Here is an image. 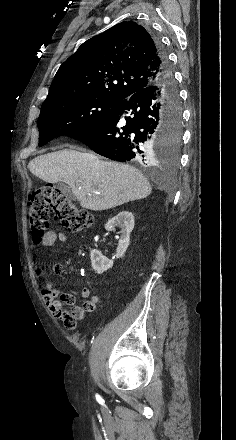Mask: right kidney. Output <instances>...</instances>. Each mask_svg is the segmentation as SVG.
<instances>
[{"label": "right kidney", "instance_id": "obj_1", "mask_svg": "<svg viewBox=\"0 0 236 440\" xmlns=\"http://www.w3.org/2000/svg\"><path fill=\"white\" fill-rule=\"evenodd\" d=\"M121 228V237L116 249V257L121 258L124 256L130 242V234L134 228V216L129 211H122L115 217L111 218L105 225V229L108 231H114L115 227ZM91 265L93 270L97 274H102L108 269L112 268L113 260H109L102 255L101 251L93 249L90 252Z\"/></svg>", "mask_w": 236, "mask_h": 440}]
</instances>
